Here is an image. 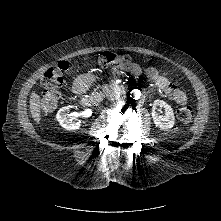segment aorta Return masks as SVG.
<instances>
[{"label": "aorta", "instance_id": "1", "mask_svg": "<svg viewBox=\"0 0 221 221\" xmlns=\"http://www.w3.org/2000/svg\"><path fill=\"white\" fill-rule=\"evenodd\" d=\"M140 95H141V93H140L139 90H133V91L131 92V97L134 98V99H139V98H140Z\"/></svg>", "mask_w": 221, "mask_h": 221}]
</instances>
